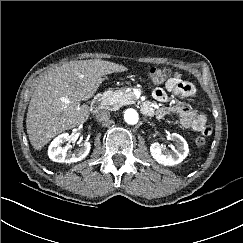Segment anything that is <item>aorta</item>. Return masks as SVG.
<instances>
[{
    "mask_svg": "<svg viewBox=\"0 0 243 243\" xmlns=\"http://www.w3.org/2000/svg\"><path fill=\"white\" fill-rule=\"evenodd\" d=\"M124 120L127 124L134 125L137 124L139 120L138 113L135 109L129 108L124 112Z\"/></svg>",
    "mask_w": 243,
    "mask_h": 243,
    "instance_id": "1",
    "label": "aorta"
}]
</instances>
